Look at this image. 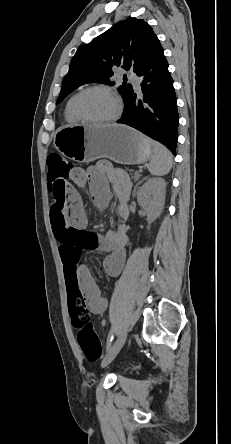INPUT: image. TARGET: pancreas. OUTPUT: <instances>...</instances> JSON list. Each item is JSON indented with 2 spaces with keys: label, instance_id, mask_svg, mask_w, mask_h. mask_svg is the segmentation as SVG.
Returning <instances> with one entry per match:
<instances>
[{
  "label": "pancreas",
  "instance_id": "1",
  "mask_svg": "<svg viewBox=\"0 0 231 444\" xmlns=\"http://www.w3.org/2000/svg\"><path fill=\"white\" fill-rule=\"evenodd\" d=\"M126 170L129 172V175L134 179V181L139 180L141 175L138 171H135L133 169H128V168H126Z\"/></svg>",
  "mask_w": 231,
  "mask_h": 444
}]
</instances>
